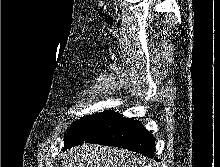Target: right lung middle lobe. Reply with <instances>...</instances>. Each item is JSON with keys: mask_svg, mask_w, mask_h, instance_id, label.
Instances as JSON below:
<instances>
[{"mask_svg": "<svg viewBox=\"0 0 220 167\" xmlns=\"http://www.w3.org/2000/svg\"><path fill=\"white\" fill-rule=\"evenodd\" d=\"M110 111L83 117L74 122L65 136L64 150L83 143Z\"/></svg>", "mask_w": 220, "mask_h": 167, "instance_id": "obj_1", "label": "right lung middle lobe"}]
</instances>
